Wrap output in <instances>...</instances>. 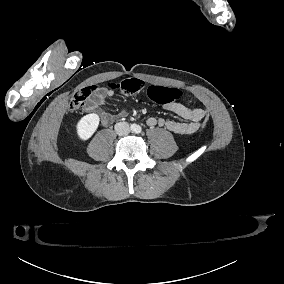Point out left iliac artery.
I'll return each mask as SVG.
<instances>
[{
  "mask_svg": "<svg viewBox=\"0 0 284 284\" xmlns=\"http://www.w3.org/2000/svg\"><path fill=\"white\" fill-rule=\"evenodd\" d=\"M137 132H141V128H137Z\"/></svg>",
  "mask_w": 284,
  "mask_h": 284,
  "instance_id": "obj_1",
  "label": "left iliac artery"
}]
</instances>
